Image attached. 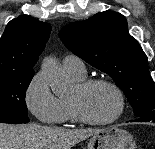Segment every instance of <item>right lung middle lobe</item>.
<instances>
[{"label": "right lung middle lobe", "mask_w": 155, "mask_h": 149, "mask_svg": "<svg viewBox=\"0 0 155 149\" xmlns=\"http://www.w3.org/2000/svg\"><path fill=\"white\" fill-rule=\"evenodd\" d=\"M34 71L0 76V123H28L26 89Z\"/></svg>", "instance_id": "1"}]
</instances>
